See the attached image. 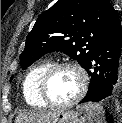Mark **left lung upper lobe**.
<instances>
[{
  "instance_id": "5c2ea615",
  "label": "left lung upper lobe",
  "mask_w": 122,
  "mask_h": 123,
  "mask_svg": "<svg viewBox=\"0 0 122 123\" xmlns=\"http://www.w3.org/2000/svg\"><path fill=\"white\" fill-rule=\"evenodd\" d=\"M117 17L108 0H58L42 13L20 57L26 69L48 52L67 54L85 69L103 33Z\"/></svg>"
}]
</instances>
